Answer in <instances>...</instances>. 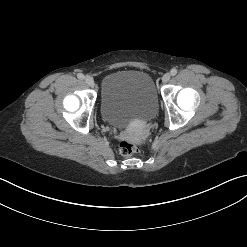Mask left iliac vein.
Here are the masks:
<instances>
[{
	"mask_svg": "<svg viewBox=\"0 0 247 247\" xmlns=\"http://www.w3.org/2000/svg\"><path fill=\"white\" fill-rule=\"evenodd\" d=\"M171 78V74L170 73H165L162 77V82L163 83H167Z\"/></svg>",
	"mask_w": 247,
	"mask_h": 247,
	"instance_id": "4c4485c4",
	"label": "left iliac vein"
}]
</instances>
